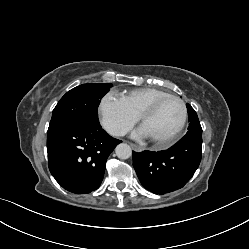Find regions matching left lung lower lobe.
Masks as SVG:
<instances>
[{"instance_id":"obj_1","label":"left lung lower lobe","mask_w":249,"mask_h":249,"mask_svg":"<svg viewBox=\"0 0 249 249\" xmlns=\"http://www.w3.org/2000/svg\"><path fill=\"white\" fill-rule=\"evenodd\" d=\"M202 135H185L167 150L133 152V166L142 185L155 194L182 188L201 161Z\"/></svg>"}]
</instances>
